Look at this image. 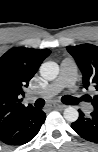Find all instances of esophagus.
<instances>
[{
    "label": "esophagus",
    "instance_id": "34e87169",
    "mask_svg": "<svg viewBox=\"0 0 98 152\" xmlns=\"http://www.w3.org/2000/svg\"><path fill=\"white\" fill-rule=\"evenodd\" d=\"M51 109L63 110L66 106L57 102L48 105Z\"/></svg>",
    "mask_w": 98,
    "mask_h": 152
}]
</instances>
